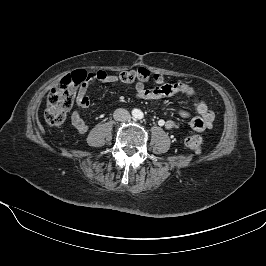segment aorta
Here are the masks:
<instances>
[{
    "label": "aorta",
    "instance_id": "aorta-1",
    "mask_svg": "<svg viewBox=\"0 0 266 266\" xmlns=\"http://www.w3.org/2000/svg\"><path fill=\"white\" fill-rule=\"evenodd\" d=\"M136 118H141L142 117V112L140 110L137 111V113L134 114Z\"/></svg>",
    "mask_w": 266,
    "mask_h": 266
}]
</instances>
